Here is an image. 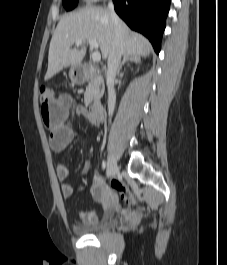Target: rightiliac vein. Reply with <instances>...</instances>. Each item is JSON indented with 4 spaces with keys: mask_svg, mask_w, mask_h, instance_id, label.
I'll return each instance as SVG.
<instances>
[{
    "mask_svg": "<svg viewBox=\"0 0 227 265\" xmlns=\"http://www.w3.org/2000/svg\"><path fill=\"white\" fill-rule=\"evenodd\" d=\"M118 172V166H117V162L115 160V158L113 156H111L108 160V171H107V175L112 177L115 176Z\"/></svg>",
    "mask_w": 227,
    "mask_h": 265,
    "instance_id": "1",
    "label": "right iliac vein"
}]
</instances>
